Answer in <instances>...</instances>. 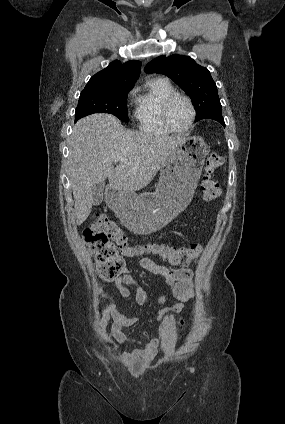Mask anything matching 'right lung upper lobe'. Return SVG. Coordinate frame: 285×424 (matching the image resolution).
<instances>
[{
	"label": "right lung upper lobe",
	"mask_w": 285,
	"mask_h": 424,
	"mask_svg": "<svg viewBox=\"0 0 285 424\" xmlns=\"http://www.w3.org/2000/svg\"><path fill=\"white\" fill-rule=\"evenodd\" d=\"M140 67V61L121 63L115 60L107 68L92 76L84 89L134 85L140 76Z\"/></svg>",
	"instance_id": "right-lung-upper-lobe-1"
}]
</instances>
